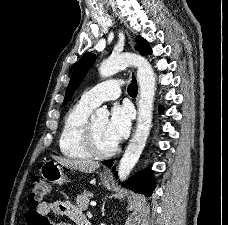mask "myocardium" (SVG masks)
I'll use <instances>...</instances> for the list:
<instances>
[{"instance_id":"1","label":"myocardium","mask_w":228,"mask_h":225,"mask_svg":"<svg viewBox=\"0 0 228 225\" xmlns=\"http://www.w3.org/2000/svg\"><path fill=\"white\" fill-rule=\"evenodd\" d=\"M84 140L87 148L96 156H109L116 153L119 149L117 143H114L110 147H103L100 145L92 121H88L86 124Z\"/></svg>"}]
</instances>
